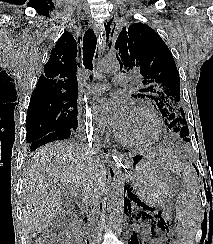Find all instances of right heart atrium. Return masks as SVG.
<instances>
[{"label": "right heart atrium", "mask_w": 213, "mask_h": 244, "mask_svg": "<svg viewBox=\"0 0 213 244\" xmlns=\"http://www.w3.org/2000/svg\"><path fill=\"white\" fill-rule=\"evenodd\" d=\"M101 133H103V130L100 127H96L88 115L82 117L78 127L79 136L91 138L93 136H98Z\"/></svg>", "instance_id": "d8ad5b80"}]
</instances>
